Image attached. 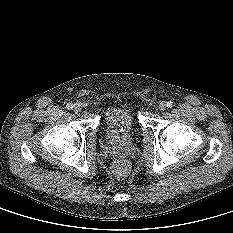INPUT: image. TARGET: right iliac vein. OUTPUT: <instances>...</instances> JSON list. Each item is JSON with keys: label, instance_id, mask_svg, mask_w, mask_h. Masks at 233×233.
<instances>
[{"label": "right iliac vein", "instance_id": "63e3f726", "mask_svg": "<svg viewBox=\"0 0 233 233\" xmlns=\"http://www.w3.org/2000/svg\"><path fill=\"white\" fill-rule=\"evenodd\" d=\"M81 109H82V107H81L80 104H75V105L73 106V111H74L75 113H79V112L81 111Z\"/></svg>", "mask_w": 233, "mask_h": 233}]
</instances>
